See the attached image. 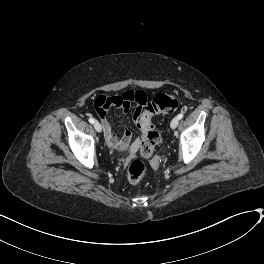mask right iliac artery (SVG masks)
<instances>
[{"instance_id":"1","label":"right iliac artery","mask_w":264,"mask_h":264,"mask_svg":"<svg viewBox=\"0 0 264 264\" xmlns=\"http://www.w3.org/2000/svg\"><path fill=\"white\" fill-rule=\"evenodd\" d=\"M89 122H90L91 124H94V123H95V120H94L93 118H89Z\"/></svg>"}]
</instances>
